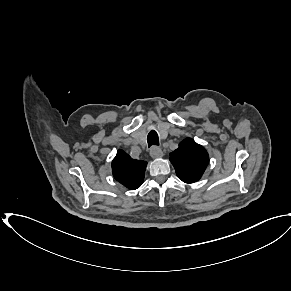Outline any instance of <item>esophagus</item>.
I'll use <instances>...</instances> for the list:
<instances>
[{"mask_svg":"<svg viewBox=\"0 0 291 291\" xmlns=\"http://www.w3.org/2000/svg\"><path fill=\"white\" fill-rule=\"evenodd\" d=\"M150 156L152 158H161L163 156V152L159 147L154 146L150 149Z\"/></svg>","mask_w":291,"mask_h":291,"instance_id":"esophagus-1","label":"esophagus"}]
</instances>
